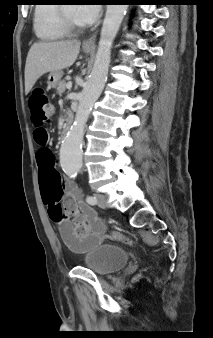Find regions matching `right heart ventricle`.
<instances>
[{
    "mask_svg": "<svg viewBox=\"0 0 213 338\" xmlns=\"http://www.w3.org/2000/svg\"><path fill=\"white\" fill-rule=\"evenodd\" d=\"M34 31L43 41H58L66 36L60 25L58 5L49 2H39L35 5Z\"/></svg>",
    "mask_w": 213,
    "mask_h": 338,
    "instance_id": "e07e8e85",
    "label": "right heart ventricle"
}]
</instances>
